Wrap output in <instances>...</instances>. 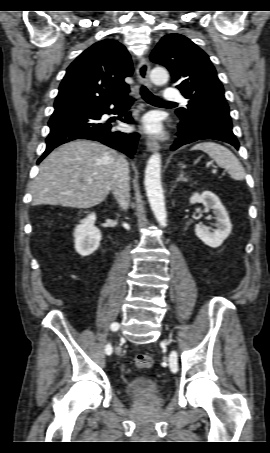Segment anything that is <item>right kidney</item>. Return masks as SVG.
Wrapping results in <instances>:
<instances>
[{
  "label": "right kidney",
  "mask_w": 270,
  "mask_h": 453,
  "mask_svg": "<svg viewBox=\"0 0 270 453\" xmlns=\"http://www.w3.org/2000/svg\"><path fill=\"white\" fill-rule=\"evenodd\" d=\"M95 220L96 215L91 213L74 230L75 250L81 256L91 255L100 245L102 235L94 226Z\"/></svg>",
  "instance_id": "obj_1"
}]
</instances>
